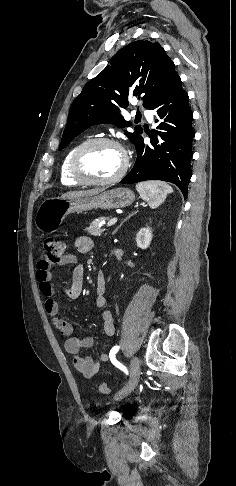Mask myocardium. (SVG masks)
Returning a JSON list of instances; mask_svg holds the SVG:
<instances>
[{
	"mask_svg": "<svg viewBox=\"0 0 236 486\" xmlns=\"http://www.w3.org/2000/svg\"><path fill=\"white\" fill-rule=\"evenodd\" d=\"M101 144H108L117 147L123 155V165L119 172L106 179H97L88 176L82 169L81 162L82 158L87 151L91 148L101 145ZM129 168V157L127 151L123 147V145L115 139L108 138V137H97L90 140L85 141L82 143L73 153L70 164H69V171L71 176L81 184L85 185H109L120 181Z\"/></svg>",
	"mask_w": 236,
	"mask_h": 486,
	"instance_id": "f54148a6",
	"label": "myocardium"
}]
</instances>
